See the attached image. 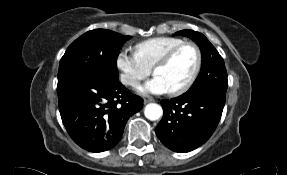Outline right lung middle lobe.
<instances>
[{"instance_id":"right-lung-middle-lobe-1","label":"right lung middle lobe","mask_w":287,"mask_h":175,"mask_svg":"<svg viewBox=\"0 0 287 175\" xmlns=\"http://www.w3.org/2000/svg\"><path fill=\"white\" fill-rule=\"evenodd\" d=\"M130 38L105 29L86 32L67 48L61 58L58 82L75 76L118 82L116 60L123 43Z\"/></svg>"}]
</instances>
